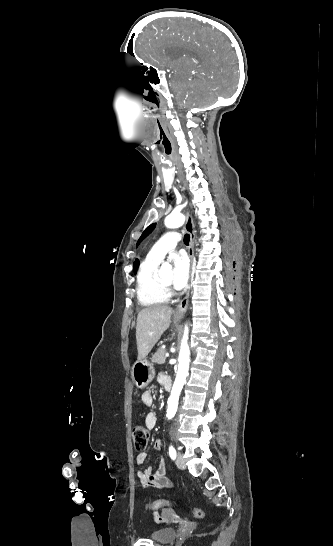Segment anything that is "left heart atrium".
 <instances>
[{"label": "left heart atrium", "mask_w": 333, "mask_h": 546, "mask_svg": "<svg viewBox=\"0 0 333 546\" xmlns=\"http://www.w3.org/2000/svg\"><path fill=\"white\" fill-rule=\"evenodd\" d=\"M173 261V286L175 289L185 287L189 277V261L184 254H175L172 257Z\"/></svg>", "instance_id": "1"}]
</instances>
